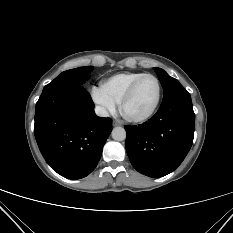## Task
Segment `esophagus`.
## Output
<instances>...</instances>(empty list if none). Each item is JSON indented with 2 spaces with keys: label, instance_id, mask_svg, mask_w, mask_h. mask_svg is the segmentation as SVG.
Masks as SVG:
<instances>
[{
  "label": "esophagus",
  "instance_id": "34e87169",
  "mask_svg": "<svg viewBox=\"0 0 233 233\" xmlns=\"http://www.w3.org/2000/svg\"><path fill=\"white\" fill-rule=\"evenodd\" d=\"M119 125H122V122H120V121H114L113 122V126H119Z\"/></svg>",
  "mask_w": 233,
  "mask_h": 233
}]
</instances>
